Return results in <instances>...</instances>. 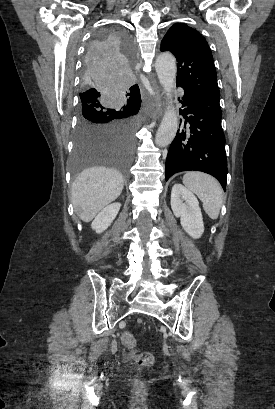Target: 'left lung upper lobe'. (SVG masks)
<instances>
[{"mask_svg":"<svg viewBox=\"0 0 275 409\" xmlns=\"http://www.w3.org/2000/svg\"><path fill=\"white\" fill-rule=\"evenodd\" d=\"M161 51L172 52L178 61L177 85L220 98L211 50L197 30L175 23L164 36Z\"/></svg>","mask_w":275,"mask_h":409,"instance_id":"5c2ea615","label":"left lung upper lobe"}]
</instances>
